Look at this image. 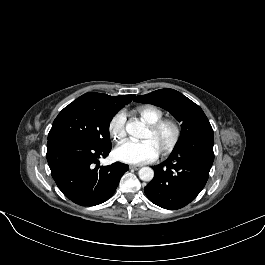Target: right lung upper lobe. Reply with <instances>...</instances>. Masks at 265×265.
Listing matches in <instances>:
<instances>
[{"label":"right lung upper lobe","instance_id":"obj_1","mask_svg":"<svg viewBox=\"0 0 265 265\" xmlns=\"http://www.w3.org/2000/svg\"><path fill=\"white\" fill-rule=\"evenodd\" d=\"M134 95L109 96L102 93L88 92L72 103H81L92 106L107 113H117L126 104L130 103Z\"/></svg>","mask_w":265,"mask_h":265}]
</instances>
